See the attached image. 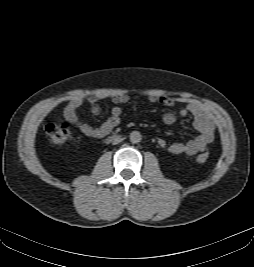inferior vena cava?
I'll use <instances>...</instances> for the list:
<instances>
[{
    "mask_svg": "<svg viewBox=\"0 0 254 267\" xmlns=\"http://www.w3.org/2000/svg\"><path fill=\"white\" fill-rule=\"evenodd\" d=\"M121 141H122L121 138H114L113 141H112V143L115 145V144L120 143Z\"/></svg>",
    "mask_w": 254,
    "mask_h": 267,
    "instance_id": "602c4592",
    "label": "inferior vena cava"
}]
</instances>
